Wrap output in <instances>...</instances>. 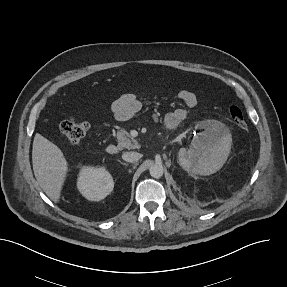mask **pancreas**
<instances>
[{"label": "pancreas", "instance_id": "cf45deb5", "mask_svg": "<svg viewBox=\"0 0 287 287\" xmlns=\"http://www.w3.org/2000/svg\"><path fill=\"white\" fill-rule=\"evenodd\" d=\"M117 141H118V148L119 149H136L140 148L137 140L134 139L129 132H127L124 128H122L117 133Z\"/></svg>", "mask_w": 287, "mask_h": 287}]
</instances>
